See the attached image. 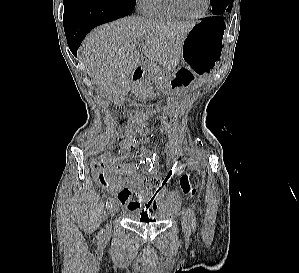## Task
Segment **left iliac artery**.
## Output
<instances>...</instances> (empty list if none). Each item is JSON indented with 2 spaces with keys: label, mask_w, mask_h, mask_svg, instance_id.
<instances>
[{
  "label": "left iliac artery",
  "mask_w": 299,
  "mask_h": 273,
  "mask_svg": "<svg viewBox=\"0 0 299 273\" xmlns=\"http://www.w3.org/2000/svg\"><path fill=\"white\" fill-rule=\"evenodd\" d=\"M188 211H189V215H190L191 226H192L193 230H195L196 223H197L195 213L192 208H189Z\"/></svg>",
  "instance_id": "44dca946"
}]
</instances>
